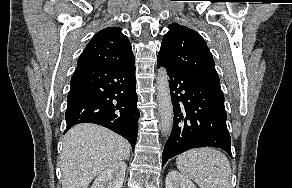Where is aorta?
<instances>
[{
    "label": "aorta",
    "instance_id": "1",
    "mask_svg": "<svg viewBox=\"0 0 292 188\" xmlns=\"http://www.w3.org/2000/svg\"><path fill=\"white\" fill-rule=\"evenodd\" d=\"M158 112L160 116L161 130L167 135L173 126V104L171 100L168 75L165 67L158 70L156 80Z\"/></svg>",
    "mask_w": 292,
    "mask_h": 188
}]
</instances>
